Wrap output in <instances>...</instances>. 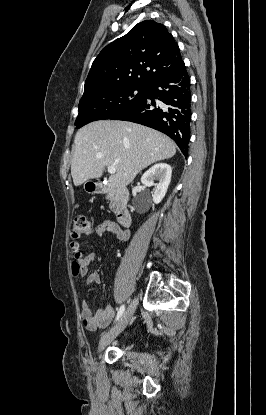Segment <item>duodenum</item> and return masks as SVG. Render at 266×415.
Listing matches in <instances>:
<instances>
[{"label":"duodenum","mask_w":266,"mask_h":415,"mask_svg":"<svg viewBox=\"0 0 266 415\" xmlns=\"http://www.w3.org/2000/svg\"><path fill=\"white\" fill-rule=\"evenodd\" d=\"M91 191L96 194L111 195L114 199L115 215L118 223L124 227L131 224V215L127 204L129 200V192L123 187H112L102 183H92Z\"/></svg>","instance_id":"410a0bca"}]
</instances>
